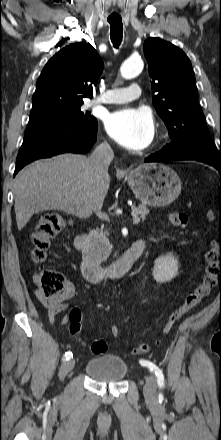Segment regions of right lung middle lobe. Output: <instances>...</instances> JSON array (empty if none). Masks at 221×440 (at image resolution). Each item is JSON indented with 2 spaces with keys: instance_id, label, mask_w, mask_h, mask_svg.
<instances>
[{
  "instance_id": "dd1d6c3e",
  "label": "right lung middle lobe",
  "mask_w": 221,
  "mask_h": 440,
  "mask_svg": "<svg viewBox=\"0 0 221 440\" xmlns=\"http://www.w3.org/2000/svg\"><path fill=\"white\" fill-rule=\"evenodd\" d=\"M82 104L58 103L31 110L28 127L52 123L72 128H91L97 124V120L80 110Z\"/></svg>"
}]
</instances>
